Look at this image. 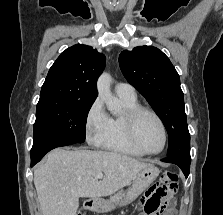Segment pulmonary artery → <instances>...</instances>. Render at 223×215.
Segmentation results:
<instances>
[{"label": "pulmonary artery", "mask_w": 223, "mask_h": 215, "mask_svg": "<svg viewBox=\"0 0 223 215\" xmlns=\"http://www.w3.org/2000/svg\"><path fill=\"white\" fill-rule=\"evenodd\" d=\"M114 89H115V93L119 97L129 98V99L136 98V92H135L134 88L127 83L119 82L115 85Z\"/></svg>", "instance_id": "obj_1"}]
</instances>
